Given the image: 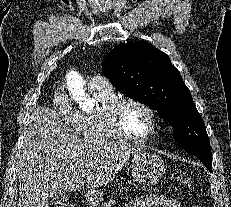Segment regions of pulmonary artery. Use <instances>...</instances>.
Here are the masks:
<instances>
[{
  "label": "pulmonary artery",
  "instance_id": "1",
  "mask_svg": "<svg viewBox=\"0 0 231 207\" xmlns=\"http://www.w3.org/2000/svg\"><path fill=\"white\" fill-rule=\"evenodd\" d=\"M89 87L93 89L109 90L112 88L111 83L104 76H93L89 81Z\"/></svg>",
  "mask_w": 231,
  "mask_h": 207
}]
</instances>
